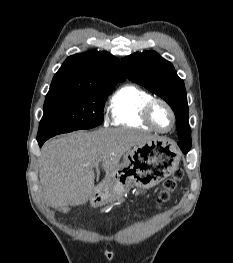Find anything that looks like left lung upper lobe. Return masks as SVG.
<instances>
[{"mask_svg":"<svg viewBox=\"0 0 233 263\" xmlns=\"http://www.w3.org/2000/svg\"><path fill=\"white\" fill-rule=\"evenodd\" d=\"M121 63L132 82L146 87L170 105L175 113L179 139L191 145L184 81L178 77L173 65L155 51L133 53L124 57Z\"/></svg>","mask_w":233,"mask_h":263,"instance_id":"5c2ea615","label":"left lung upper lobe"}]
</instances>
